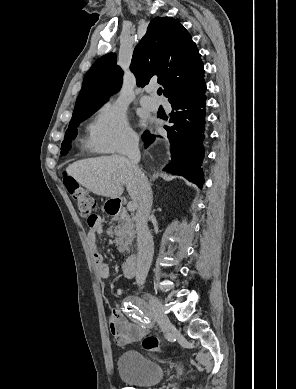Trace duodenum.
Segmentation results:
<instances>
[{
    "mask_svg": "<svg viewBox=\"0 0 296 389\" xmlns=\"http://www.w3.org/2000/svg\"><path fill=\"white\" fill-rule=\"evenodd\" d=\"M122 203L118 199L110 201L108 205V213L118 215L121 211ZM153 245L150 239H145L138 251L131 255L123 264L122 271L126 278H131L135 275L138 265L149 258L152 254Z\"/></svg>",
    "mask_w": 296,
    "mask_h": 389,
    "instance_id": "obj_1",
    "label": "duodenum"
}]
</instances>
